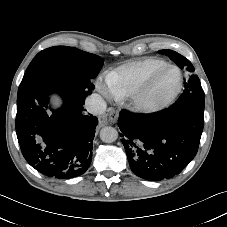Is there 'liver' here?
Segmentation results:
<instances>
[{"mask_svg":"<svg viewBox=\"0 0 227 227\" xmlns=\"http://www.w3.org/2000/svg\"><path fill=\"white\" fill-rule=\"evenodd\" d=\"M54 104H55L56 106H59V104H60L59 100H55V101H54Z\"/></svg>","mask_w":227,"mask_h":227,"instance_id":"liver-1","label":"liver"}]
</instances>
